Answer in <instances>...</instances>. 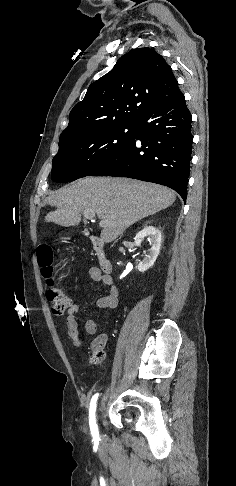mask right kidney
I'll return each instance as SVG.
<instances>
[{
  "mask_svg": "<svg viewBox=\"0 0 236 486\" xmlns=\"http://www.w3.org/2000/svg\"><path fill=\"white\" fill-rule=\"evenodd\" d=\"M144 238L148 239L150 249L148 250L147 254L144 252L145 257L138 265L139 272H145L154 265L161 247V232L155 227L146 226L141 231H139L134 238L135 245L140 246Z\"/></svg>",
  "mask_w": 236,
  "mask_h": 486,
  "instance_id": "right-kidney-1",
  "label": "right kidney"
}]
</instances>
